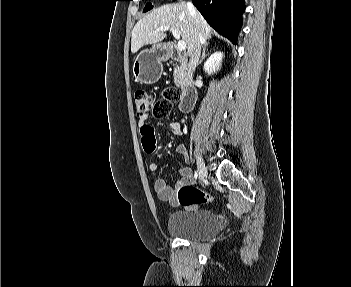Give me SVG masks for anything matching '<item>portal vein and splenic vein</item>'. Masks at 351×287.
Wrapping results in <instances>:
<instances>
[{
    "label": "portal vein and splenic vein",
    "mask_w": 351,
    "mask_h": 287,
    "mask_svg": "<svg viewBox=\"0 0 351 287\" xmlns=\"http://www.w3.org/2000/svg\"><path fill=\"white\" fill-rule=\"evenodd\" d=\"M171 30L173 36L178 40V44H177V50L178 51H184L186 49V43L184 40L180 39V33L178 32V30L176 29H171L168 26H164V27H160L157 29V31H168Z\"/></svg>",
    "instance_id": "1"
}]
</instances>
